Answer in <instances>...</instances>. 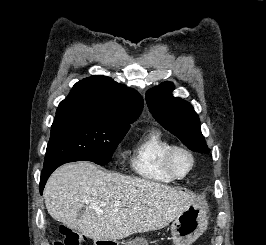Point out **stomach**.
<instances>
[{"label": "stomach", "mask_w": 266, "mask_h": 245, "mask_svg": "<svg viewBox=\"0 0 266 245\" xmlns=\"http://www.w3.org/2000/svg\"><path fill=\"white\" fill-rule=\"evenodd\" d=\"M207 225L206 211L199 205H188L186 211L176 217L171 225L173 245H190L206 231ZM112 243L118 245L117 241H112ZM126 245H148V241L144 237H136Z\"/></svg>", "instance_id": "stomach-1"}]
</instances>
